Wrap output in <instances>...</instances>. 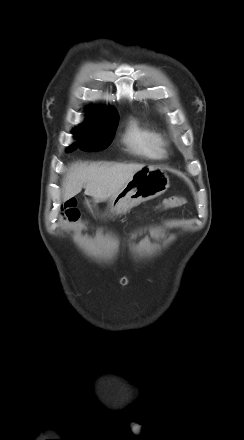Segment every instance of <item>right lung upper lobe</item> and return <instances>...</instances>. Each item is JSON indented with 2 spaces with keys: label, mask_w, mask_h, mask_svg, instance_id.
<instances>
[{
  "label": "right lung upper lobe",
  "mask_w": 244,
  "mask_h": 440,
  "mask_svg": "<svg viewBox=\"0 0 244 440\" xmlns=\"http://www.w3.org/2000/svg\"><path fill=\"white\" fill-rule=\"evenodd\" d=\"M115 123H118V113L114 107H110L107 111H95L85 124L105 127Z\"/></svg>",
  "instance_id": "cb5924a9"
}]
</instances>
